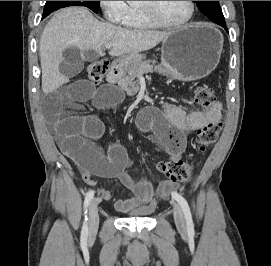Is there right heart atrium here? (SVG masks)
Masks as SVG:
<instances>
[{"mask_svg": "<svg viewBox=\"0 0 271 266\" xmlns=\"http://www.w3.org/2000/svg\"><path fill=\"white\" fill-rule=\"evenodd\" d=\"M107 21L113 24H123L128 12L125 1H99Z\"/></svg>", "mask_w": 271, "mask_h": 266, "instance_id": "obj_1", "label": "right heart atrium"}]
</instances>
